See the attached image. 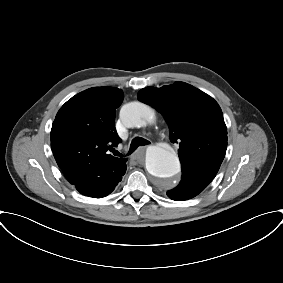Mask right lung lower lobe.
I'll list each match as a JSON object with an SVG mask.
<instances>
[{"instance_id":"right-lung-lower-lobe-1","label":"right lung lower lobe","mask_w":283,"mask_h":283,"mask_svg":"<svg viewBox=\"0 0 283 283\" xmlns=\"http://www.w3.org/2000/svg\"><path fill=\"white\" fill-rule=\"evenodd\" d=\"M126 172L124 166L105 165L97 170V175L87 177L77 183V190L86 196L100 198L110 194L122 180Z\"/></svg>"}]
</instances>
